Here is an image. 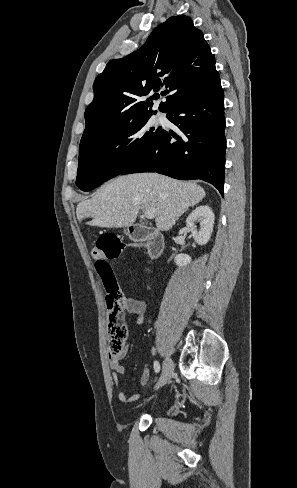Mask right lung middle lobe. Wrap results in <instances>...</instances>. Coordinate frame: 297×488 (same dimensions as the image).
<instances>
[{"label":"right lung middle lobe","mask_w":297,"mask_h":488,"mask_svg":"<svg viewBox=\"0 0 297 488\" xmlns=\"http://www.w3.org/2000/svg\"><path fill=\"white\" fill-rule=\"evenodd\" d=\"M149 118L143 117L104 135L81 139L76 185L83 191L93 190L135 162L162 130L146 126Z\"/></svg>","instance_id":"1"}]
</instances>
